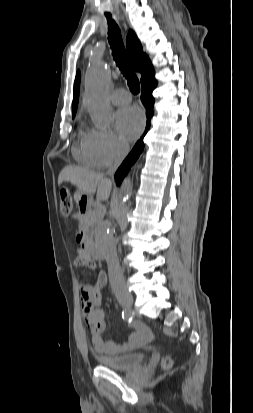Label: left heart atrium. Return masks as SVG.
<instances>
[{
    "mask_svg": "<svg viewBox=\"0 0 253 413\" xmlns=\"http://www.w3.org/2000/svg\"><path fill=\"white\" fill-rule=\"evenodd\" d=\"M144 126V114L136 106L126 107L116 115V128L124 140L135 139Z\"/></svg>",
    "mask_w": 253,
    "mask_h": 413,
    "instance_id": "39dd6f15",
    "label": "left heart atrium"
}]
</instances>
